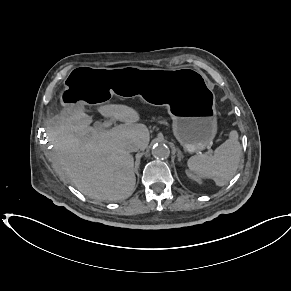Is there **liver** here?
I'll return each instance as SVG.
<instances>
[{"label":"liver","instance_id":"liver-1","mask_svg":"<svg viewBox=\"0 0 291 291\" xmlns=\"http://www.w3.org/2000/svg\"><path fill=\"white\" fill-rule=\"evenodd\" d=\"M97 111L124 124L99 130L90 126L92 117L81 108H64L48 131L55 163L84 195L97 200H124L136 182L134 158L127 146L135 143L140 150L146 149L149 130L137 123L138 112L126 105H103Z\"/></svg>","mask_w":291,"mask_h":291}]
</instances>
